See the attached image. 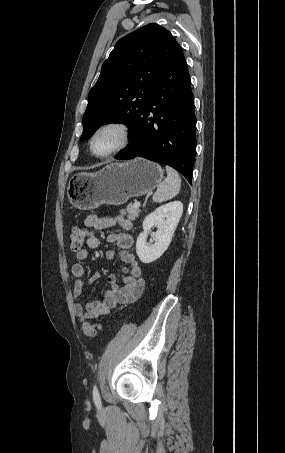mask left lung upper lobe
I'll return each mask as SVG.
<instances>
[{
	"mask_svg": "<svg viewBox=\"0 0 285 453\" xmlns=\"http://www.w3.org/2000/svg\"><path fill=\"white\" fill-rule=\"evenodd\" d=\"M178 48L173 35L154 23L121 38L89 92L81 141L112 122L123 123L132 131Z\"/></svg>",
	"mask_w": 285,
	"mask_h": 453,
	"instance_id": "obj_1",
	"label": "left lung upper lobe"
}]
</instances>
